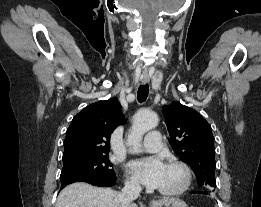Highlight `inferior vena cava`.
<instances>
[{"instance_id":"obj_1","label":"inferior vena cava","mask_w":261,"mask_h":207,"mask_svg":"<svg viewBox=\"0 0 261 207\" xmlns=\"http://www.w3.org/2000/svg\"><path fill=\"white\" fill-rule=\"evenodd\" d=\"M141 187L138 182H126L122 192L119 194L121 207H130L133 200L139 197Z\"/></svg>"}]
</instances>
